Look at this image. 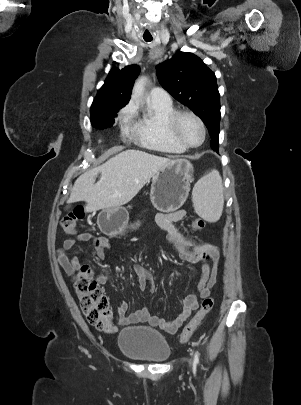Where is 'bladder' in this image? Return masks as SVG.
Segmentation results:
<instances>
[{"label":"bladder","mask_w":301,"mask_h":405,"mask_svg":"<svg viewBox=\"0 0 301 405\" xmlns=\"http://www.w3.org/2000/svg\"><path fill=\"white\" fill-rule=\"evenodd\" d=\"M118 347L125 356L138 361L160 363L170 356L166 338L149 327L124 328L118 336Z\"/></svg>","instance_id":"31cf9c89"}]
</instances>
